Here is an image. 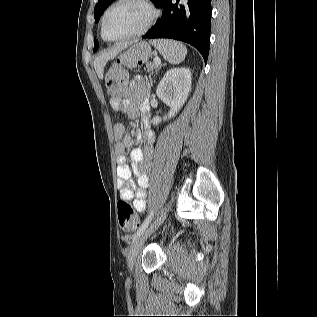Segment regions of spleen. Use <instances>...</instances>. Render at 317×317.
I'll list each match as a JSON object with an SVG mask.
<instances>
[{"label": "spleen", "mask_w": 317, "mask_h": 317, "mask_svg": "<svg viewBox=\"0 0 317 317\" xmlns=\"http://www.w3.org/2000/svg\"><path fill=\"white\" fill-rule=\"evenodd\" d=\"M150 43L162 57L171 64L181 63L187 54V48L180 42L168 39L152 40Z\"/></svg>", "instance_id": "3e777b00"}]
</instances>
